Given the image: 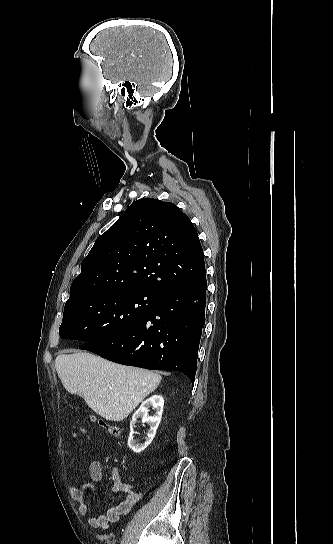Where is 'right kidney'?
<instances>
[{
    "mask_svg": "<svg viewBox=\"0 0 333 544\" xmlns=\"http://www.w3.org/2000/svg\"><path fill=\"white\" fill-rule=\"evenodd\" d=\"M152 407L156 410L153 416H148L149 408ZM164 407V399L160 395H152L146 399L140 407L133 414L132 421L130 422V434L128 438V446L134 453L142 452L153 440L156 434V430L161 422L162 413ZM141 418L143 423L150 425V430L147 433V437L144 443H138L134 439V427L136 420Z\"/></svg>",
    "mask_w": 333,
    "mask_h": 544,
    "instance_id": "1",
    "label": "right kidney"
}]
</instances>
